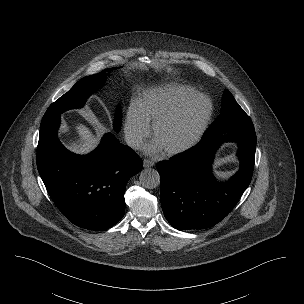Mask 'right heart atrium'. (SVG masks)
<instances>
[{"mask_svg":"<svg viewBox=\"0 0 304 304\" xmlns=\"http://www.w3.org/2000/svg\"><path fill=\"white\" fill-rule=\"evenodd\" d=\"M126 141L134 149L140 148L150 135V125L137 104H132L124 123Z\"/></svg>","mask_w":304,"mask_h":304,"instance_id":"1","label":"right heart atrium"}]
</instances>
